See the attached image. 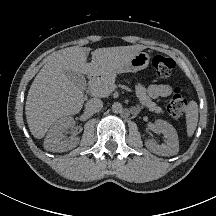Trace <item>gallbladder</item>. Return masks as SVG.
Returning <instances> with one entry per match:
<instances>
[{"label":"gallbladder","mask_w":216,"mask_h":216,"mask_svg":"<svg viewBox=\"0 0 216 216\" xmlns=\"http://www.w3.org/2000/svg\"><path fill=\"white\" fill-rule=\"evenodd\" d=\"M65 74L70 81L79 85L82 84L84 78L81 74L69 70L65 71Z\"/></svg>","instance_id":"gallbladder-1"}]
</instances>
